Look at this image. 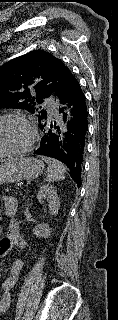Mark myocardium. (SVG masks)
Segmentation results:
<instances>
[{
  "label": "myocardium",
  "instance_id": "myocardium-1",
  "mask_svg": "<svg viewBox=\"0 0 118 320\" xmlns=\"http://www.w3.org/2000/svg\"><path fill=\"white\" fill-rule=\"evenodd\" d=\"M6 120H19L25 123L29 129L30 138L25 146L18 149L5 150L2 147H0V155H21L29 152L33 148L38 137V132L35 124L31 121L30 118L19 113H10V114H5L0 116V122L6 121Z\"/></svg>",
  "mask_w": 118,
  "mask_h": 320
}]
</instances>
